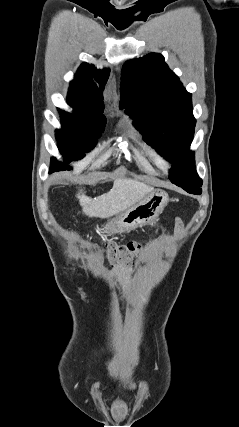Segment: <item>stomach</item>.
Masks as SVG:
<instances>
[{
  "label": "stomach",
  "mask_w": 239,
  "mask_h": 427,
  "mask_svg": "<svg viewBox=\"0 0 239 427\" xmlns=\"http://www.w3.org/2000/svg\"><path fill=\"white\" fill-rule=\"evenodd\" d=\"M168 202L169 196L165 191L153 190L142 201L108 222L103 231L111 235L147 225L158 217Z\"/></svg>",
  "instance_id": "obj_1"
}]
</instances>
